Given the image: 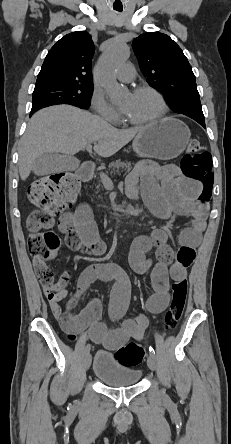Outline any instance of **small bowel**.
Returning <instances> with one entry per match:
<instances>
[{"label": "small bowel", "instance_id": "small-bowel-1", "mask_svg": "<svg viewBox=\"0 0 231 444\" xmlns=\"http://www.w3.org/2000/svg\"><path fill=\"white\" fill-rule=\"evenodd\" d=\"M200 185L182 175L174 166H159L151 162L141 163L129 175L126 182V192L130 198L142 194L149 209L159 218L171 219L174 216H190L193 218L191 227L184 229L180 235L181 246L174 252L168 245V235L165 229L159 228L151 233H143L132 243L129 263L134 271L144 274L151 269L153 294L146 300V309L153 314L163 312L170 301V279L185 278L187 268L196 256L201 233L205 228L207 212L206 203L198 200ZM58 229L66 235L69 248L88 255L100 256L105 253V244L99 240L92 219L91 210L87 205L78 207L74 214H63L58 220ZM155 249L156 262L147 257V253ZM36 273L47 267L45 262L34 261ZM113 271L118 279L110 301V311L113 314L123 312L129 303L130 287L125 276L115 268L106 265H91L87 267L78 280L75 294L69 297L66 290L57 293L44 289L52 314L61 328L71 339L86 331L89 338L107 350H118L130 339H141L148 326V320L143 315L124 319L116 328L108 329L100 321L102 304L99 299L89 302L78 314L72 309L89 285L97 279ZM66 301L63 310L59 304Z\"/></svg>", "mask_w": 231, "mask_h": 444}]
</instances>
